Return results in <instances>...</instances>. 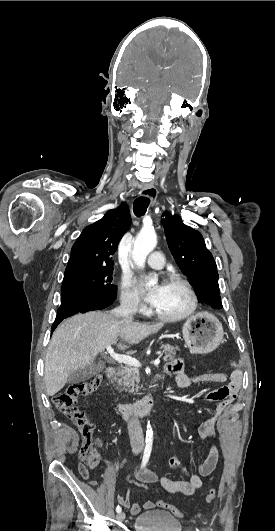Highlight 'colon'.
Wrapping results in <instances>:
<instances>
[{
	"label": "colon",
	"instance_id": "colon-1",
	"mask_svg": "<svg viewBox=\"0 0 275 531\" xmlns=\"http://www.w3.org/2000/svg\"><path fill=\"white\" fill-rule=\"evenodd\" d=\"M230 364L234 368H237L240 365V363L234 359L230 361ZM101 381V376H94L93 378L74 383L64 391L59 392L54 399L55 407L73 422L81 435L82 442L79 450V472L86 479L90 477L86 462H93L95 460H89L95 451L93 449L94 425L89 421L86 413L77 407L76 401L80 396L98 390ZM91 484L94 485L95 482L91 481ZM142 486L144 487L143 491L147 490V485L142 484ZM216 496V490L211 488L206 494L205 500L207 503H211L216 499ZM159 505L161 510L167 511L176 517L181 516V512L173 504L159 501Z\"/></svg>",
	"mask_w": 275,
	"mask_h": 531
}]
</instances>
